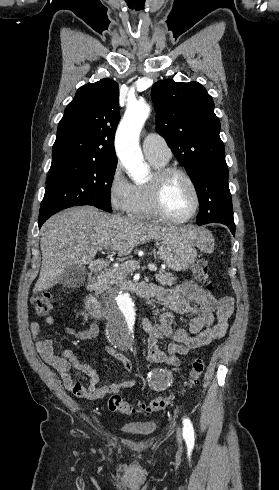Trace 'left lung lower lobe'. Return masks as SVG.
<instances>
[{
	"label": "left lung lower lobe",
	"mask_w": 279,
	"mask_h": 490,
	"mask_svg": "<svg viewBox=\"0 0 279 490\" xmlns=\"http://www.w3.org/2000/svg\"><path fill=\"white\" fill-rule=\"evenodd\" d=\"M224 225H226L230 229L232 234L235 235V224H224Z\"/></svg>",
	"instance_id": "left-lung-lower-lobe-1"
}]
</instances>
